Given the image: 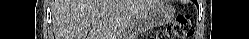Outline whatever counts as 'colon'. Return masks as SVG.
Masks as SVG:
<instances>
[{
  "instance_id": "obj_1",
  "label": "colon",
  "mask_w": 249,
  "mask_h": 39,
  "mask_svg": "<svg viewBox=\"0 0 249 39\" xmlns=\"http://www.w3.org/2000/svg\"><path fill=\"white\" fill-rule=\"evenodd\" d=\"M194 34V25L191 14L184 12L179 14L175 21L162 32L160 38L167 39H185Z\"/></svg>"
}]
</instances>
